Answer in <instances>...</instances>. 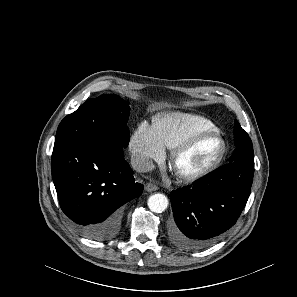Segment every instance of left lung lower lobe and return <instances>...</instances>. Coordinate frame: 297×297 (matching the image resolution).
Masks as SVG:
<instances>
[{
    "instance_id": "left-lung-lower-lobe-1",
    "label": "left lung lower lobe",
    "mask_w": 297,
    "mask_h": 297,
    "mask_svg": "<svg viewBox=\"0 0 297 297\" xmlns=\"http://www.w3.org/2000/svg\"><path fill=\"white\" fill-rule=\"evenodd\" d=\"M254 162L229 163L192 186L171 193L173 244L199 250L217 241L239 218L250 195Z\"/></svg>"
}]
</instances>
